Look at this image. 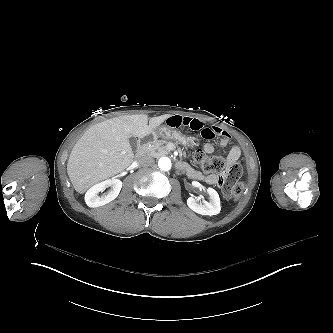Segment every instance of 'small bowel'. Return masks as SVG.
<instances>
[{
	"instance_id": "obj_1",
	"label": "small bowel",
	"mask_w": 333,
	"mask_h": 333,
	"mask_svg": "<svg viewBox=\"0 0 333 333\" xmlns=\"http://www.w3.org/2000/svg\"><path fill=\"white\" fill-rule=\"evenodd\" d=\"M166 126L169 128H188L193 131H197L203 138H220L217 146L225 147L229 144L230 136L223 131L220 127L214 125H208L205 121L198 117L187 116V115H173L166 119ZM204 152L207 154H212L216 146L212 143H207L204 145ZM241 156V148L237 144H233L230 147L229 153L227 155V163L232 165L236 163ZM188 167L190 171L195 175V179L204 180L208 184H216L218 179L216 175L209 174L203 175L201 172L192 169L187 165H182V168Z\"/></svg>"
}]
</instances>
